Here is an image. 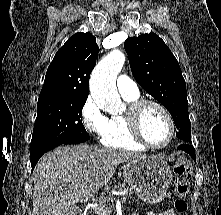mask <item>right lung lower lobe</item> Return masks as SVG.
Listing matches in <instances>:
<instances>
[{
	"label": "right lung lower lobe",
	"mask_w": 221,
	"mask_h": 215,
	"mask_svg": "<svg viewBox=\"0 0 221 215\" xmlns=\"http://www.w3.org/2000/svg\"><path fill=\"white\" fill-rule=\"evenodd\" d=\"M90 137L89 136H86L84 138H81V139H78V140H74V141H71V142H67V143H62V144H77V143H82V142H85L89 139ZM62 144H56V145H51V146H47L35 153H32L31 154V166H32V170L34 169L35 165L37 164L39 158L47 151L59 146V145H62Z\"/></svg>",
	"instance_id": "right-lung-lower-lobe-1"
}]
</instances>
